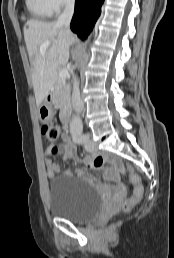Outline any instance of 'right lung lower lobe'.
<instances>
[{"label":"right lung lower lobe","mask_w":174,"mask_h":258,"mask_svg":"<svg viewBox=\"0 0 174 258\" xmlns=\"http://www.w3.org/2000/svg\"><path fill=\"white\" fill-rule=\"evenodd\" d=\"M104 0H75V11L70 27L81 39L89 34L100 16Z\"/></svg>","instance_id":"98d812e1"}]
</instances>
